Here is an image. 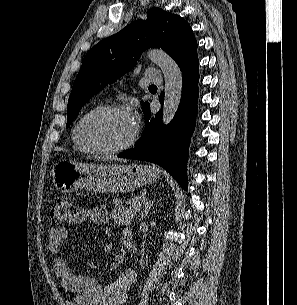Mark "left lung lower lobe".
I'll return each mask as SVG.
<instances>
[{
  "label": "left lung lower lobe",
  "instance_id": "left-lung-lower-lobe-1",
  "mask_svg": "<svg viewBox=\"0 0 297 305\" xmlns=\"http://www.w3.org/2000/svg\"><path fill=\"white\" fill-rule=\"evenodd\" d=\"M183 90L179 108L168 126L162 123V108L151 118L149 103L143 107L145 122L143 136L128 151L118 154L128 159L158 164L187 189V159L190 137L194 130L198 101V63L181 65ZM164 93L160 95L163 105Z\"/></svg>",
  "mask_w": 297,
  "mask_h": 305
}]
</instances>
